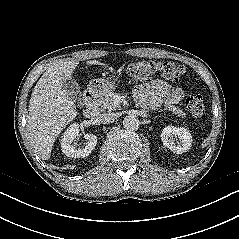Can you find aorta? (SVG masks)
I'll return each mask as SVG.
<instances>
[{
    "mask_svg": "<svg viewBox=\"0 0 239 239\" xmlns=\"http://www.w3.org/2000/svg\"><path fill=\"white\" fill-rule=\"evenodd\" d=\"M139 125L140 121L134 115H128L123 120V126L128 130H137Z\"/></svg>",
    "mask_w": 239,
    "mask_h": 239,
    "instance_id": "obj_1",
    "label": "aorta"
}]
</instances>
